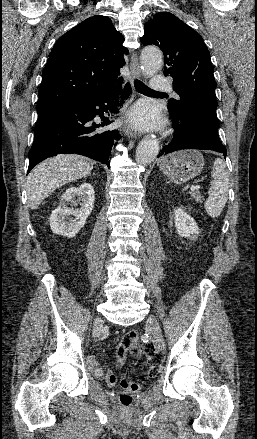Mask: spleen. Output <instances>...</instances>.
<instances>
[{"instance_id": "spleen-1", "label": "spleen", "mask_w": 257, "mask_h": 439, "mask_svg": "<svg viewBox=\"0 0 257 439\" xmlns=\"http://www.w3.org/2000/svg\"><path fill=\"white\" fill-rule=\"evenodd\" d=\"M212 178L213 183L204 207L210 217L217 218L227 203L229 191V172L225 162L220 158L214 161Z\"/></svg>"}]
</instances>
